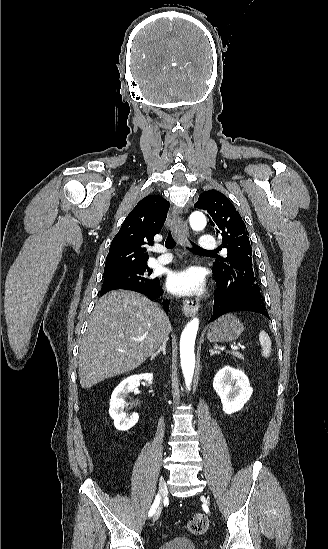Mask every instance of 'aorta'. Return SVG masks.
Masks as SVG:
<instances>
[{"mask_svg":"<svg viewBox=\"0 0 328 549\" xmlns=\"http://www.w3.org/2000/svg\"><path fill=\"white\" fill-rule=\"evenodd\" d=\"M190 226L194 231H200L206 226V217L203 213L195 211L189 218ZM199 327V319L193 318L184 330L180 338L181 368L187 388H190L195 368L194 345Z\"/></svg>","mask_w":328,"mask_h":549,"instance_id":"obj_1","label":"aorta"}]
</instances>
